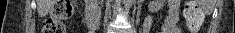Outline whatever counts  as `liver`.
I'll use <instances>...</instances> for the list:
<instances>
[{
	"label": "liver",
	"mask_w": 235,
	"mask_h": 33,
	"mask_svg": "<svg viewBox=\"0 0 235 33\" xmlns=\"http://www.w3.org/2000/svg\"><path fill=\"white\" fill-rule=\"evenodd\" d=\"M53 0H37V10L38 14L43 17L45 16L50 8L53 6Z\"/></svg>",
	"instance_id": "6515ba94"
}]
</instances>
